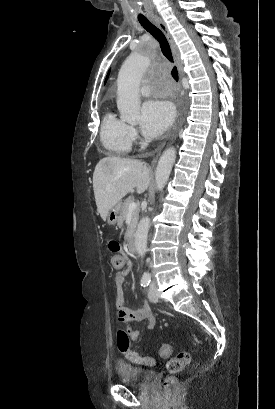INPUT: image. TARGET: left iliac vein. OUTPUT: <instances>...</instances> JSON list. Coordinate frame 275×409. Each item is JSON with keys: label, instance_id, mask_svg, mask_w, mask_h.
Here are the masks:
<instances>
[{"label": "left iliac vein", "instance_id": "4c4485c4", "mask_svg": "<svg viewBox=\"0 0 275 409\" xmlns=\"http://www.w3.org/2000/svg\"><path fill=\"white\" fill-rule=\"evenodd\" d=\"M148 298H149V300H150L151 302H157L158 299H159V296H158V292H157L156 284H155V283H152V284L150 285V288H149V290H148Z\"/></svg>", "mask_w": 275, "mask_h": 409}]
</instances>
